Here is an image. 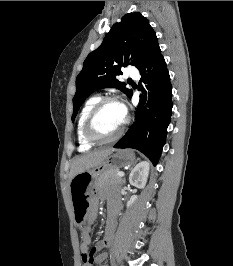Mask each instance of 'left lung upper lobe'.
<instances>
[{
    "label": "left lung upper lobe",
    "instance_id": "left-lung-upper-lobe-1",
    "mask_svg": "<svg viewBox=\"0 0 233 266\" xmlns=\"http://www.w3.org/2000/svg\"><path fill=\"white\" fill-rule=\"evenodd\" d=\"M156 46V33L140 13H128L115 23L102 44L87 56L77 76L72 121L85 99L98 89L115 87L129 97L132 90L116 76L122 74V66L131 64L139 69Z\"/></svg>",
    "mask_w": 233,
    "mask_h": 266
}]
</instances>
